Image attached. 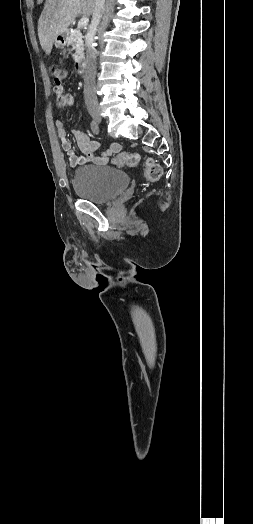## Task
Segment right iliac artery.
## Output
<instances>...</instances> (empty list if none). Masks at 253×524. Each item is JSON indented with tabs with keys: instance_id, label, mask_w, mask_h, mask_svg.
<instances>
[{
	"instance_id": "right-iliac-artery-1",
	"label": "right iliac artery",
	"mask_w": 253,
	"mask_h": 524,
	"mask_svg": "<svg viewBox=\"0 0 253 524\" xmlns=\"http://www.w3.org/2000/svg\"><path fill=\"white\" fill-rule=\"evenodd\" d=\"M90 127L94 134H99V126L95 121H91Z\"/></svg>"
}]
</instances>
